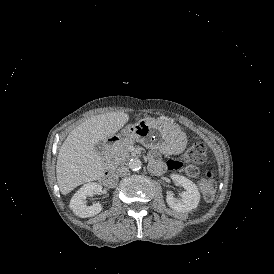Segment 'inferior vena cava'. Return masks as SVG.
<instances>
[{
    "label": "inferior vena cava",
    "mask_w": 274,
    "mask_h": 274,
    "mask_svg": "<svg viewBox=\"0 0 274 274\" xmlns=\"http://www.w3.org/2000/svg\"><path fill=\"white\" fill-rule=\"evenodd\" d=\"M128 172H129L128 166H120V167L116 170V174H117L118 176H125Z\"/></svg>",
    "instance_id": "inferior-vena-cava-1"
}]
</instances>
